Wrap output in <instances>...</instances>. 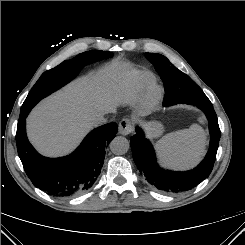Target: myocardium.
<instances>
[{"mask_svg": "<svg viewBox=\"0 0 245 245\" xmlns=\"http://www.w3.org/2000/svg\"><path fill=\"white\" fill-rule=\"evenodd\" d=\"M162 96L160 87L150 86L141 101L139 112L144 114L155 110L161 103Z\"/></svg>", "mask_w": 245, "mask_h": 245, "instance_id": "obj_1", "label": "myocardium"}]
</instances>
